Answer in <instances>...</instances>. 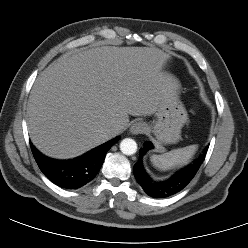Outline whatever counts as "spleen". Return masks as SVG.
<instances>
[{
    "instance_id": "3e777b00",
    "label": "spleen",
    "mask_w": 248,
    "mask_h": 248,
    "mask_svg": "<svg viewBox=\"0 0 248 248\" xmlns=\"http://www.w3.org/2000/svg\"><path fill=\"white\" fill-rule=\"evenodd\" d=\"M197 150V145H190L183 148L174 149L170 152L156 155L153 154L151 162L160 170H169L187 164Z\"/></svg>"
}]
</instances>
